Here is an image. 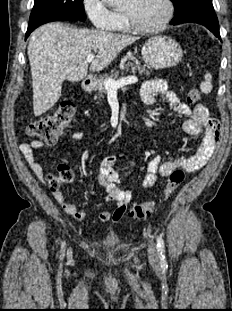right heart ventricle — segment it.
<instances>
[{
	"mask_svg": "<svg viewBox=\"0 0 232 311\" xmlns=\"http://www.w3.org/2000/svg\"><path fill=\"white\" fill-rule=\"evenodd\" d=\"M118 20L116 22V25L114 26L113 30L118 32H127L129 31V27L125 21L124 15L121 13H117Z\"/></svg>",
	"mask_w": 232,
	"mask_h": 311,
	"instance_id": "right-heart-ventricle-1",
	"label": "right heart ventricle"
}]
</instances>
